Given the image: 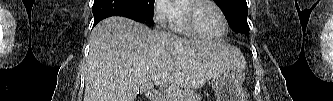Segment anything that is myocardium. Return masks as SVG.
Returning <instances> with one entry per match:
<instances>
[{"label": "myocardium", "mask_w": 333, "mask_h": 101, "mask_svg": "<svg viewBox=\"0 0 333 101\" xmlns=\"http://www.w3.org/2000/svg\"><path fill=\"white\" fill-rule=\"evenodd\" d=\"M200 4H209L211 5L213 8H215V10L219 13L222 22H223V29L221 31L220 34L216 35V36H208L205 35L203 33H201L195 23H194V19H193V10ZM182 16H183V21H184V25L187 29V31L193 35L196 36L198 38L201 39H206V40H219L222 37H224L228 31V21L226 18V15L224 14L223 10L213 1H209V0H188V1H183L182 4Z\"/></svg>", "instance_id": "f54148a6"}]
</instances>
